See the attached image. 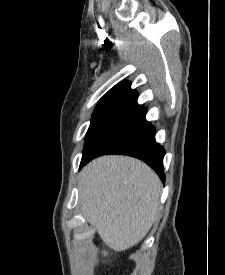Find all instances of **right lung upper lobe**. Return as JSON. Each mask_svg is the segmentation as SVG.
I'll use <instances>...</instances> for the list:
<instances>
[{
	"label": "right lung upper lobe",
	"mask_w": 225,
	"mask_h": 275,
	"mask_svg": "<svg viewBox=\"0 0 225 275\" xmlns=\"http://www.w3.org/2000/svg\"><path fill=\"white\" fill-rule=\"evenodd\" d=\"M131 83L122 81L110 89L97 104L92 117L120 115L129 117L145 110L137 104L138 94L130 88Z\"/></svg>",
	"instance_id": "cb5924a9"
}]
</instances>
